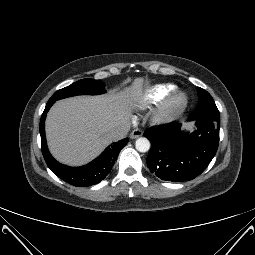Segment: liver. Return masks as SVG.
<instances>
[{"instance_id": "1", "label": "liver", "mask_w": 255, "mask_h": 255, "mask_svg": "<svg viewBox=\"0 0 255 255\" xmlns=\"http://www.w3.org/2000/svg\"><path fill=\"white\" fill-rule=\"evenodd\" d=\"M141 86L142 79H136L127 92L57 101L46 118V138L52 155L71 166L83 165L98 156L113 141L110 132L128 124V103L139 97Z\"/></svg>"}]
</instances>
